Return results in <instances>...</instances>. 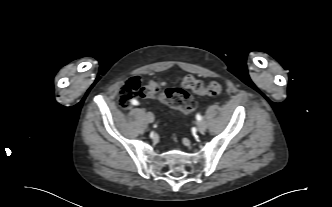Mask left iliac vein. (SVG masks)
I'll return each instance as SVG.
<instances>
[{
	"instance_id": "4c4485c4",
	"label": "left iliac vein",
	"mask_w": 332,
	"mask_h": 207,
	"mask_svg": "<svg viewBox=\"0 0 332 207\" xmlns=\"http://www.w3.org/2000/svg\"><path fill=\"white\" fill-rule=\"evenodd\" d=\"M197 128L200 132H204L207 128V123L205 120H200L197 123Z\"/></svg>"
}]
</instances>
